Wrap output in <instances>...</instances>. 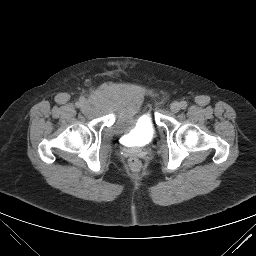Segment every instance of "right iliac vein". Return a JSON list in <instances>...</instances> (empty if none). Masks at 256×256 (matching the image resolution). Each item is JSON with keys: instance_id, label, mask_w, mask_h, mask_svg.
I'll use <instances>...</instances> for the list:
<instances>
[{"instance_id": "right-iliac-vein-1", "label": "right iliac vein", "mask_w": 256, "mask_h": 256, "mask_svg": "<svg viewBox=\"0 0 256 256\" xmlns=\"http://www.w3.org/2000/svg\"><path fill=\"white\" fill-rule=\"evenodd\" d=\"M82 110L83 111H87V110H89V104H88V102H83V104H82Z\"/></svg>"}]
</instances>
